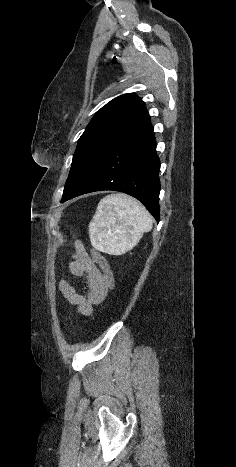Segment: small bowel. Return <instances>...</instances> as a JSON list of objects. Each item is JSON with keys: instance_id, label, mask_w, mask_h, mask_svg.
I'll list each match as a JSON object with an SVG mask.
<instances>
[{"instance_id": "1", "label": "small bowel", "mask_w": 236, "mask_h": 467, "mask_svg": "<svg viewBox=\"0 0 236 467\" xmlns=\"http://www.w3.org/2000/svg\"><path fill=\"white\" fill-rule=\"evenodd\" d=\"M69 269L72 275L85 278L86 292L78 293L75 287L64 278L59 281V289L64 298L76 306L79 314L89 316L93 307L100 304L110 291L104 274L79 242L74 244L73 260L69 264Z\"/></svg>"}]
</instances>
